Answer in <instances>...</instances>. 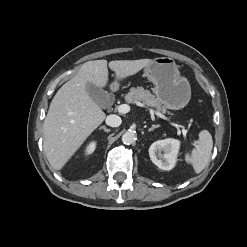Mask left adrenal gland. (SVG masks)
<instances>
[{"label": "left adrenal gland", "instance_id": "a2214340", "mask_svg": "<svg viewBox=\"0 0 247 247\" xmlns=\"http://www.w3.org/2000/svg\"><path fill=\"white\" fill-rule=\"evenodd\" d=\"M158 127H160V125H152V127L151 128H148V131L150 132V131H153L155 128H158Z\"/></svg>", "mask_w": 247, "mask_h": 247}]
</instances>
